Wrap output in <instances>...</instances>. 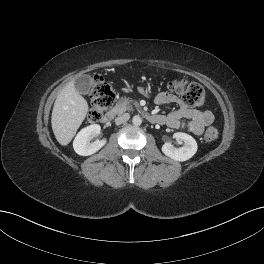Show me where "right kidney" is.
Instances as JSON below:
<instances>
[{"label":"right kidney","instance_id":"obj_1","mask_svg":"<svg viewBox=\"0 0 264 264\" xmlns=\"http://www.w3.org/2000/svg\"><path fill=\"white\" fill-rule=\"evenodd\" d=\"M101 127L98 124H93L83 128L75 137L73 142L74 151L81 156H89L100 150L106 143L107 140H95L90 143V136L98 135Z\"/></svg>","mask_w":264,"mask_h":264}]
</instances>
